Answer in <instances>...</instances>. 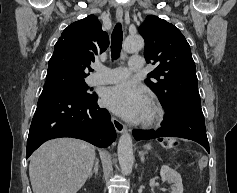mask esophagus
Segmentation results:
<instances>
[{"instance_id": "esophagus-1", "label": "esophagus", "mask_w": 237, "mask_h": 193, "mask_svg": "<svg viewBox=\"0 0 237 193\" xmlns=\"http://www.w3.org/2000/svg\"><path fill=\"white\" fill-rule=\"evenodd\" d=\"M116 18L118 21H122L123 19V9L118 7L116 10ZM113 125L118 133H123L126 131V126L116 118L112 119Z\"/></svg>"}]
</instances>
